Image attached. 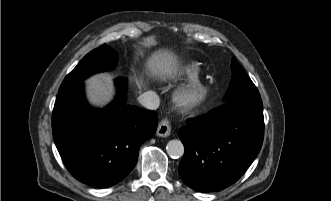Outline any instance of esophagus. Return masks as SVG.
Returning <instances> with one entry per match:
<instances>
[{"instance_id":"obj_1","label":"esophagus","mask_w":331,"mask_h":201,"mask_svg":"<svg viewBox=\"0 0 331 201\" xmlns=\"http://www.w3.org/2000/svg\"><path fill=\"white\" fill-rule=\"evenodd\" d=\"M171 132V126L167 119H162L159 122L158 128H157V136L159 137H167L170 135Z\"/></svg>"}]
</instances>
